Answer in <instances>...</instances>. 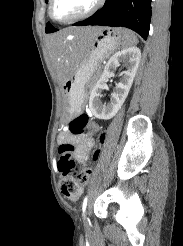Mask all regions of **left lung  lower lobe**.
I'll use <instances>...</instances> for the list:
<instances>
[{
    "label": "left lung lower lobe",
    "mask_w": 183,
    "mask_h": 246,
    "mask_svg": "<svg viewBox=\"0 0 183 246\" xmlns=\"http://www.w3.org/2000/svg\"><path fill=\"white\" fill-rule=\"evenodd\" d=\"M151 20V0H106L102 9L75 26L127 27L147 39Z\"/></svg>",
    "instance_id": "0a47b994"
}]
</instances>
